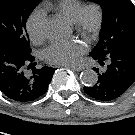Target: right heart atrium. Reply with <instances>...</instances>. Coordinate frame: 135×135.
Segmentation results:
<instances>
[{"mask_svg":"<svg viewBox=\"0 0 135 135\" xmlns=\"http://www.w3.org/2000/svg\"><path fill=\"white\" fill-rule=\"evenodd\" d=\"M44 20L45 13L41 9L34 10L27 20V32L29 34L30 39L35 43L40 42L44 37Z\"/></svg>","mask_w":135,"mask_h":135,"instance_id":"obj_1","label":"right heart atrium"}]
</instances>
